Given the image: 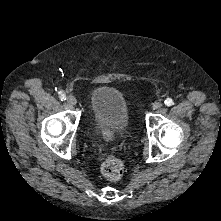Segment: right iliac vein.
<instances>
[{"instance_id": "obj_1", "label": "right iliac vein", "mask_w": 221, "mask_h": 221, "mask_svg": "<svg viewBox=\"0 0 221 221\" xmlns=\"http://www.w3.org/2000/svg\"><path fill=\"white\" fill-rule=\"evenodd\" d=\"M67 102L70 104V105H75L77 103V100L76 98L73 96V95H69L67 97Z\"/></svg>"}]
</instances>
